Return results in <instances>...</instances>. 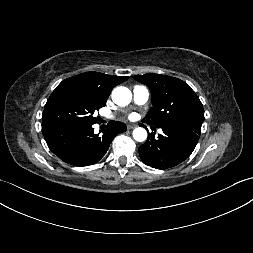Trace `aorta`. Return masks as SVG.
I'll return each mask as SVG.
<instances>
[{
    "label": "aorta",
    "mask_w": 253,
    "mask_h": 253,
    "mask_svg": "<svg viewBox=\"0 0 253 253\" xmlns=\"http://www.w3.org/2000/svg\"><path fill=\"white\" fill-rule=\"evenodd\" d=\"M131 91L123 86L117 87L112 91V100L119 106H126L131 102ZM133 138L138 142H143L147 139V132L144 128L138 127L133 130Z\"/></svg>",
    "instance_id": "762f6f07"
}]
</instances>
